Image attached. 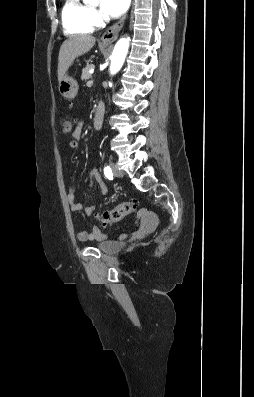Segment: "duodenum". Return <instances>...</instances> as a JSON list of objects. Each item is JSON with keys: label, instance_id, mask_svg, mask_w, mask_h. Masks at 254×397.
Masks as SVG:
<instances>
[{"label": "duodenum", "instance_id": "duodenum-1", "mask_svg": "<svg viewBox=\"0 0 254 397\" xmlns=\"http://www.w3.org/2000/svg\"><path fill=\"white\" fill-rule=\"evenodd\" d=\"M105 116V106L103 103H99L93 119V126L95 129H100L102 127Z\"/></svg>", "mask_w": 254, "mask_h": 397}]
</instances>
